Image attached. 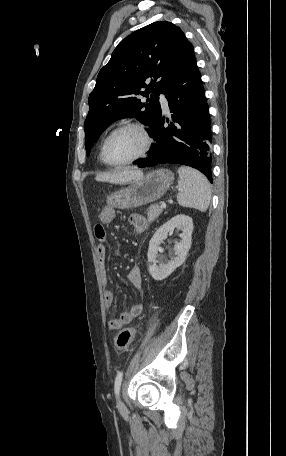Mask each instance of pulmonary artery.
Here are the masks:
<instances>
[{"instance_id": "pulmonary-artery-1", "label": "pulmonary artery", "mask_w": 286, "mask_h": 456, "mask_svg": "<svg viewBox=\"0 0 286 456\" xmlns=\"http://www.w3.org/2000/svg\"><path fill=\"white\" fill-rule=\"evenodd\" d=\"M160 102H161V106H162L163 110L165 112H168V102L164 96H161Z\"/></svg>"}]
</instances>
